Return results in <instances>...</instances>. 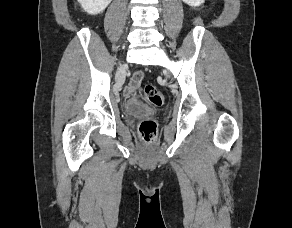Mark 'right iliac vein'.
Instances as JSON below:
<instances>
[{"label":"right iliac vein","instance_id":"1","mask_svg":"<svg viewBox=\"0 0 292 228\" xmlns=\"http://www.w3.org/2000/svg\"><path fill=\"white\" fill-rule=\"evenodd\" d=\"M124 70H123V67H120L117 71V74H116V84L117 86H120L123 81H124Z\"/></svg>","mask_w":292,"mask_h":228}]
</instances>
